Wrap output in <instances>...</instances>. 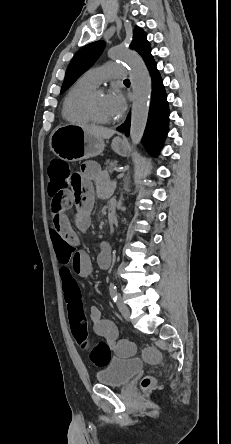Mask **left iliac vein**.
I'll list each match as a JSON object with an SVG mask.
<instances>
[{
	"label": "left iliac vein",
	"mask_w": 231,
	"mask_h": 444,
	"mask_svg": "<svg viewBox=\"0 0 231 444\" xmlns=\"http://www.w3.org/2000/svg\"><path fill=\"white\" fill-rule=\"evenodd\" d=\"M116 305H117L118 310H119L120 313L122 314V316H123L126 320H129V317H130V309H129L128 306L122 301V298L120 297V295H118Z\"/></svg>",
	"instance_id": "4c4485c4"
}]
</instances>
